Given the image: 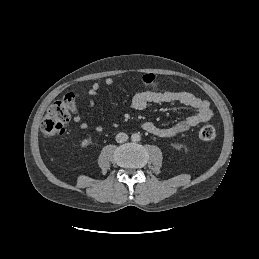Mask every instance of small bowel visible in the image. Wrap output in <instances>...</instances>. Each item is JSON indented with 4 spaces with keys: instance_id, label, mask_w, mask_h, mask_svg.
Masks as SVG:
<instances>
[{
    "instance_id": "small-bowel-1",
    "label": "small bowel",
    "mask_w": 259,
    "mask_h": 259,
    "mask_svg": "<svg viewBox=\"0 0 259 259\" xmlns=\"http://www.w3.org/2000/svg\"><path fill=\"white\" fill-rule=\"evenodd\" d=\"M104 84L110 87L114 84V80L112 78H106ZM100 87L98 82H95L91 86L89 90L91 98L87 101L88 106H94V99L92 97L98 94ZM131 103L136 110H144L152 103H179L196 110L194 114L168 127H159L149 121L142 124L143 130L162 138L174 137L201 123L208 122L213 117V111L209 102L187 91H142L133 96ZM73 120L79 124L82 129L88 128V123L83 121L78 114L74 113ZM96 130L100 132L102 127L97 126Z\"/></svg>"
}]
</instances>
